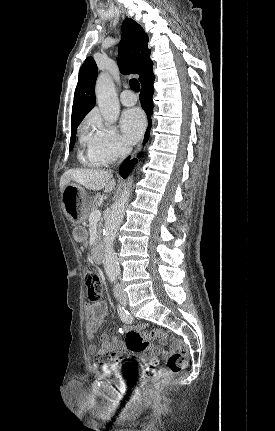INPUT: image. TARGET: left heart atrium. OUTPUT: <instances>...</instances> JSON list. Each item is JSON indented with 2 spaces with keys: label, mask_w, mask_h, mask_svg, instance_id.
<instances>
[{
  "label": "left heart atrium",
  "mask_w": 275,
  "mask_h": 431,
  "mask_svg": "<svg viewBox=\"0 0 275 431\" xmlns=\"http://www.w3.org/2000/svg\"><path fill=\"white\" fill-rule=\"evenodd\" d=\"M146 127V119L141 110H126L121 117V130L126 143L134 144L142 136Z\"/></svg>",
  "instance_id": "obj_1"
}]
</instances>
